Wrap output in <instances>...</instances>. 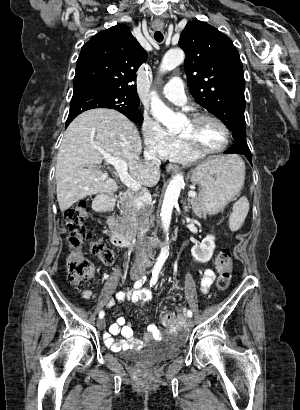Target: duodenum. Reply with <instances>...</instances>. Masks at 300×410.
Instances as JSON below:
<instances>
[{"label": "duodenum", "instance_id": "duodenum-1", "mask_svg": "<svg viewBox=\"0 0 300 410\" xmlns=\"http://www.w3.org/2000/svg\"><path fill=\"white\" fill-rule=\"evenodd\" d=\"M110 197L99 198L95 202V209L97 213L101 216L107 218L106 235L110 239L111 243L120 248H130L133 246V238L125 236L117 232L112 225V212L114 211L113 206L109 203Z\"/></svg>", "mask_w": 300, "mask_h": 410}]
</instances>
